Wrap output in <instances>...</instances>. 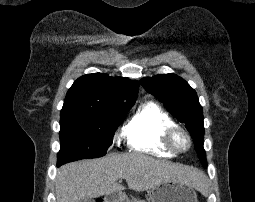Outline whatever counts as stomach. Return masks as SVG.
Wrapping results in <instances>:
<instances>
[{
  "instance_id": "0dacf381",
  "label": "stomach",
  "mask_w": 255,
  "mask_h": 202,
  "mask_svg": "<svg viewBox=\"0 0 255 202\" xmlns=\"http://www.w3.org/2000/svg\"><path fill=\"white\" fill-rule=\"evenodd\" d=\"M149 202H198L194 188L177 180L165 181L148 191ZM105 202H129L125 195L116 194Z\"/></svg>"
}]
</instances>
